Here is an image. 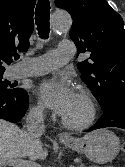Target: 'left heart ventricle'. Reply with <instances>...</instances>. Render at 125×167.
<instances>
[{
    "instance_id": "left-heart-ventricle-1",
    "label": "left heart ventricle",
    "mask_w": 125,
    "mask_h": 167,
    "mask_svg": "<svg viewBox=\"0 0 125 167\" xmlns=\"http://www.w3.org/2000/svg\"><path fill=\"white\" fill-rule=\"evenodd\" d=\"M88 115V104L79 93H76L70 108L63 117L70 122L81 123L87 119Z\"/></svg>"
}]
</instances>
